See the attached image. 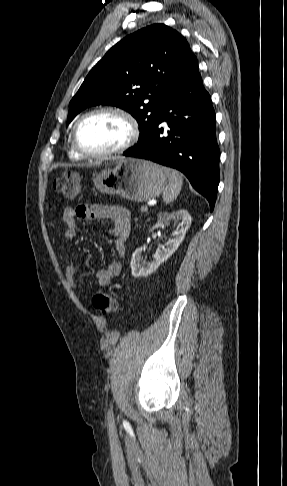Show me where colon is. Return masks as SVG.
Wrapping results in <instances>:
<instances>
[{"instance_id": "obj_1", "label": "colon", "mask_w": 287, "mask_h": 486, "mask_svg": "<svg viewBox=\"0 0 287 486\" xmlns=\"http://www.w3.org/2000/svg\"><path fill=\"white\" fill-rule=\"evenodd\" d=\"M53 189L67 198L77 196L81 190V179L73 172H65L53 181ZM93 307L103 315H111L116 312L118 303L111 294L98 291L92 298Z\"/></svg>"}]
</instances>
